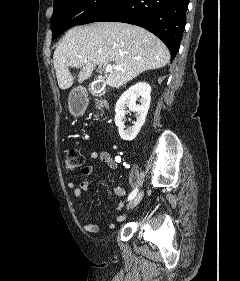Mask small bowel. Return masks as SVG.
<instances>
[{"mask_svg": "<svg viewBox=\"0 0 240 281\" xmlns=\"http://www.w3.org/2000/svg\"><path fill=\"white\" fill-rule=\"evenodd\" d=\"M90 159L92 160H101L109 169H116L118 164L116 162V160L107 152H98V151H91L90 152ZM81 174L85 177H90L94 174V169L92 166H85L81 169ZM67 187L73 192L75 198L78 201V208L79 211H82V203H81V197H82V193L87 191L89 189V181L88 179H85L83 181H81L79 184L76 183L74 180H70L67 183ZM114 192L116 195L118 196H125L126 194V189L119 186V185H115L114 186ZM124 207V203L123 201L119 202L118 204H116L113 207V211L115 212H119L122 210V208ZM124 220V216H118L117 217V221H123ZM84 229L90 233H98L104 230H111L114 228V224L113 223H109L105 226H100L98 224L95 223H85L83 225Z\"/></svg>", "mask_w": 240, "mask_h": 281, "instance_id": "small-bowel-1", "label": "small bowel"}]
</instances>
